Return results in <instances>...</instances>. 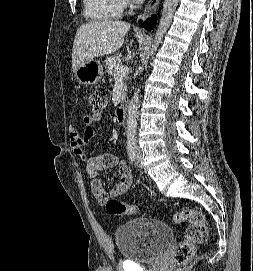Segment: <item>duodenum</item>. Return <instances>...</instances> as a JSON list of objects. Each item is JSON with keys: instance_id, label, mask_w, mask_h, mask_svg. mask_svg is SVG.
Here are the masks:
<instances>
[{"instance_id": "obj_1", "label": "duodenum", "mask_w": 253, "mask_h": 271, "mask_svg": "<svg viewBox=\"0 0 253 271\" xmlns=\"http://www.w3.org/2000/svg\"><path fill=\"white\" fill-rule=\"evenodd\" d=\"M126 119V108L124 106H120L115 111V120L117 123L122 124Z\"/></svg>"}]
</instances>
